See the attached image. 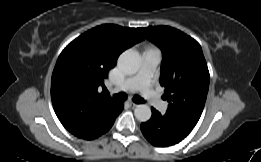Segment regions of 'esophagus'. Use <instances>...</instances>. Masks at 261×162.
Returning <instances> with one entry per match:
<instances>
[{
  "instance_id": "34e87169",
  "label": "esophagus",
  "mask_w": 261,
  "mask_h": 162,
  "mask_svg": "<svg viewBox=\"0 0 261 162\" xmlns=\"http://www.w3.org/2000/svg\"><path fill=\"white\" fill-rule=\"evenodd\" d=\"M128 105H129L130 107H132V108L138 106V104L133 103V102H128Z\"/></svg>"
}]
</instances>
